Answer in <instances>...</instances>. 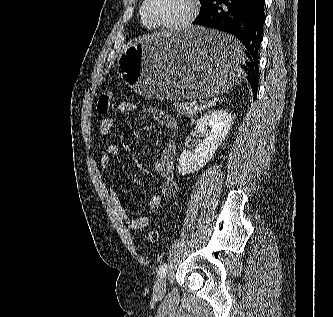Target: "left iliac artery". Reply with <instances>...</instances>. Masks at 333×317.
Returning a JSON list of instances; mask_svg holds the SVG:
<instances>
[{
	"label": "left iliac artery",
	"mask_w": 333,
	"mask_h": 317,
	"mask_svg": "<svg viewBox=\"0 0 333 317\" xmlns=\"http://www.w3.org/2000/svg\"><path fill=\"white\" fill-rule=\"evenodd\" d=\"M166 271H167V265H166V263H162L158 270V278L164 277L166 274Z\"/></svg>",
	"instance_id": "left-iliac-artery-1"
}]
</instances>
